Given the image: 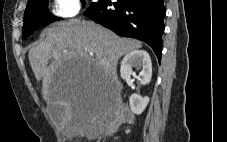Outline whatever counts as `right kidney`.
<instances>
[{"mask_svg": "<svg viewBox=\"0 0 227 142\" xmlns=\"http://www.w3.org/2000/svg\"><path fill=\"white\" fill-rule=\"evenodd\" d=\"M133 67L142 70L139 76H136L135 72H133ZM120 73L121 77L129 84L133 82L131 76L137 78L142 85L150 83L152 77V63L149 54L144 50L130 52L121 62ZM148 102V97L143 98L138 94H132L129 99L131 111L136 115H140L144 111Z\"/></svg>", "mask_w": 227, "mask_h": 142, "instance_id": "ca27d5eb", "label": "right kidney"}]
</instances>
